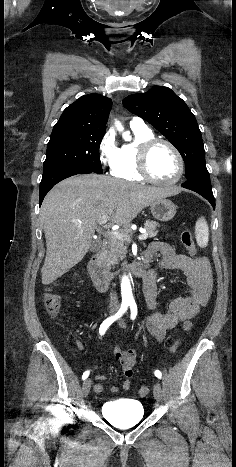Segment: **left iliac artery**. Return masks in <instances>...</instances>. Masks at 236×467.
Wrapping results in <instances>:
<instances>
[{
    "label": "left iliac artery",
    "mask_w": 236,
    "mask_h": 467,
    "mask_svg": "<svg viewBox=\"0 0 236 467\" xmlns=\"http://www.w3.org/2000/svg\"><path fill=\"white\" fill-rule=\"evenodd\" d=\"M129 306L131 310V319L134 320L137 316V305L135 302H130ZM154 374L157 378L161 379L162 373L159 370H156Z\"/></svg>",
    "instance_id": "1"
}]
</instances>
